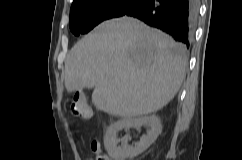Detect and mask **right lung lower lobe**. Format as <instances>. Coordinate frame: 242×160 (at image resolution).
<instances>
[{
    "label": "right lung lower lobe",
    "instance_id": "98d812e1",
    "mask_svg": "<svg viewBox=\"0 0 242 160\" xmlns=\"http://www.w3.org/2000/svg\"><path fill=\"white\" fill-rule=\"evenodd\" d=\"M199 0H144L123 16H132L190 46Z\"/></svg>",
    "mask_w": 242,
    "mask_h": 160
}]
</instances>
